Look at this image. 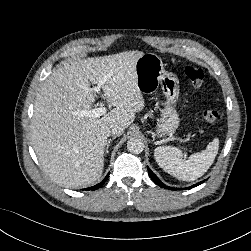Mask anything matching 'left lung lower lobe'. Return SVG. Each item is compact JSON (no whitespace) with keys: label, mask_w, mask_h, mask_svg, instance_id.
<instances>
[{"label":"left lung lower lobe","mask_w":251,"mask_h":251,"mask_svg":"<svg viewBox=\"0 0 251 251\" xmlns=\"http://www.w3.org/2000/svg\"><path fill=\"white\" fill-rule=\"evenodd\" d=\"M148 174H149V176L151 177V179H152L157 185H159L160 187H164V188H166V189H173V188H170V187L166 186L165 184H163V183L159 180V178L152 172V170H151L149 167H148ZM202 182H203V181H201L200 183H197V184H195V185H193V186H190L189 189L192 188V187L198 186V185L201 184Z\"/></svg>","instance_id":"obj_1"}]
</instances>
